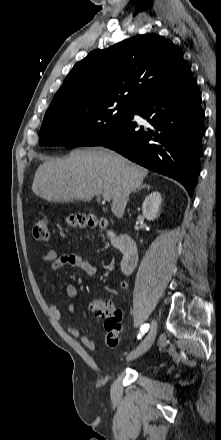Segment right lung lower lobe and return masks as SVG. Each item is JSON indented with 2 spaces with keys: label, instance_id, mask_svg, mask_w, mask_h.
I'll list each match as a JSON object with an SVG mask.
<instances>
[{
  "label": "right lung lower lobe",
  "instance_id": "right-lung-lower-lobe-1",
  "mask_svg": "<svg viewBox=\"0 0 221 440\" xmlns=\"http://www.w3.org/2000/svg\"><path fill=\"white\" fill-rule=\"evenodd\" d=\"M134 114L148 125H138ZM203 119L201 95L191 79L135 105L129 119L101 146L179 181L192 195L200 171Z\"/></svg>",
  "mask_w": 221,
  "mask_h": 440
}]
</instances>
